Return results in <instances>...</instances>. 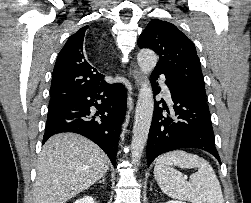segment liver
I'll use <instances>...</instances> for the list:
<instances>
[{"label": "liver", "mask_w": 251, "mask_h": 203, "mask_svg": "<svg viewBox=\"0 0 251 203\" xmlns=\"http://www.w3.org/2000/svg\"><path fill=\"white\" fill-rule=\"evenodd\" d=\"M103 150L74 133L57 134L44 144L37 164L33 203H66L109 169Z\"/></svg>", "instance_id": "6515ba94"}]
</instances>
